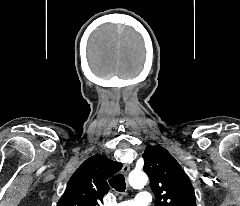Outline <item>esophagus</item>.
Returning a JSON list of instances; mask_svg holds the SVG:
<instances>
[{"mask_svg":"<svg viewBox=\"0 0 240 206\" xmlns=\"http://www.w3.org/2000/svg\"><path fill=\"white\" fill-rule=\"evenodd\" d=\"M129 170H130V166L128 164H124L122 167V173L124 175H127L129 173Z\"/></svg>","mask_w":240,"mask_h":206,"instance_id":"1","label":"esophagus"}]
</instances>
